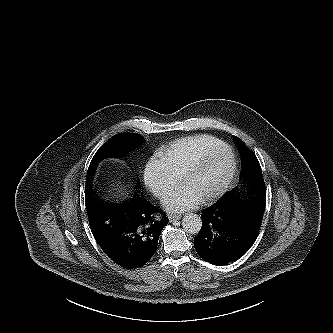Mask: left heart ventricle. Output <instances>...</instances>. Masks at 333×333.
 Returning a JSON list of instances; mask_svg holds the SVG:
<instances>
[{"label": "left heart ventricle", "mask_w": 333, "mask_h": 333, "mask_svg": "<svg viewBox=\"0 0 333 333\" xmlns=\"http://www.w3.org/2000/svg\"><path fill=\"white\" fill-rule=\"evenodd\" d=\"M229 166L230 157L226 151H222L191 176L185 184L203 197L215 190L222 183L229 170Z\"/></svg>", "instance_id": "1"}]
</instances>
